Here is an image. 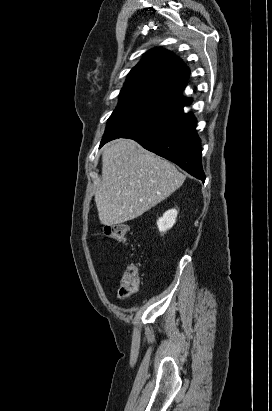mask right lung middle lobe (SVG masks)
<instances>
[{
	"label": "right lung middle lobe",
	"mask_w": 272,
	"mask_h": 411,
	"mask_svg": "<svg viewBox=\"0 0 272 411\" xmlns=\"http://www.w3.org/2000/svg\"><path fill=\"white\" fill-rule=\"evenodd\" d=\"M180 109L179 105L166 103L141 92H121L119 104L108 119L104 136L122 137L145 127Z\"/></svg>",
	"instance_id": "dd1d6c3e"
}]
</instances>
